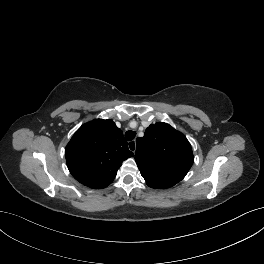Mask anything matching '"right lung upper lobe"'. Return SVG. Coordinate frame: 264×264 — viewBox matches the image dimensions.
I'll use <instances>...</instances> for the list:
<instances>
[{
	"mask_svg": "<svg viewBox=\"0 0 264 264\" xmlns=\"http://www.w3.org/2000/svg\"><path fill=\"white\" fill-rule=\"evenodd\" d=\"M69 171L80 183L105 188L122 162L134 154L112 120L96 119L82 125L65 149Z\"/></svg>",
	"mask_w": 264,
	"mask_h": 264,
	"instance_id": "1",
	"label": "right lung upper lobe"
}]
</instances>
